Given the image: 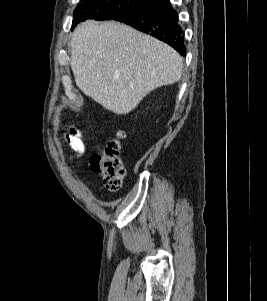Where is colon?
I'll return each mask as SVG.
<instances>
[{
	"label": "colon",
	"mask_w": 267,
	"mask_h": 301,
	"mask_svg": "<svg viewBox=\"0 0 267 301\" xmlns=\"http://www.w3.org/2000/svg\"><path fill=\"white\" fill-rule=\"evenodd\" d=\"M125 137L123 131L109 140L103 149L90 158V167L101 174L106 188L110 191H118L125 176V167L121 158V144Z\"/></svg>",
	"instance_id": "5ec220e1"
}]
</instances>
